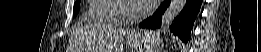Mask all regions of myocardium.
I'll return each mask as SVG.
<instances>
[{
	"instance_id": "1",
	"label": "myocardium",
	"mask_w": 261,
	"mask_h": 52,
	"mask_svg": "<svg viewBox=\"0 0 261 52\" xmlns=\"http://www.w3.org/2000/svg\"><path fill=\"white\" fill-rule=\"evenodd\" d=\"M121 6L123 9V13L127 17H134L135 15L141 14L146 11V10L138 8L133 1H123L121 3Z\"/></svg>"
}]
</instances>
